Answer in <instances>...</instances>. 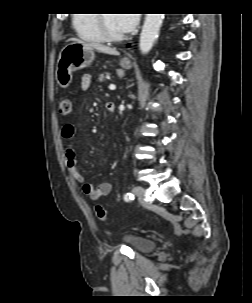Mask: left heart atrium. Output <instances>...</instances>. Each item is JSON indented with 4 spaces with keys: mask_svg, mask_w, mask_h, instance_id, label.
<instances>
[{
    "mask_svg": "<svg viewBox=\"0 0 252 303\" xmlns=\"http://www.w3.org/2000/svg\"><path fill=\"white\" fill-rule=\"evenodd\" d=\"M117 20L124 32L133 30L138 24V14H116Z\"/></svg>",
    "mask_w": 252,
    "mask_h": 303,
    "instance_id": "left-heart-atrium-1",
    "label": "left heart atrium"
}]
</instances>
